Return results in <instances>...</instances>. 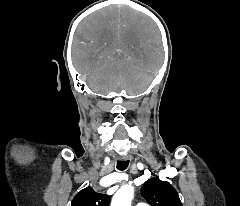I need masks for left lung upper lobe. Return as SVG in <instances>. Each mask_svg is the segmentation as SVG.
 <instances>
[{"mask_svg":"<svg viewBox=\"0 0 240 206\" xmlns=\"http://www.w3.org/2000/svg\"><path fill=\"white\" fill-rule=\"evenodd\" d=\"M141 191L151 206H182L174 187L158 177L146 181Z\"/></svg>","mask_w":240,"mask_h":206,"instance_id":"obj_1","label":"left lung upper lobe"}]
</instances>
